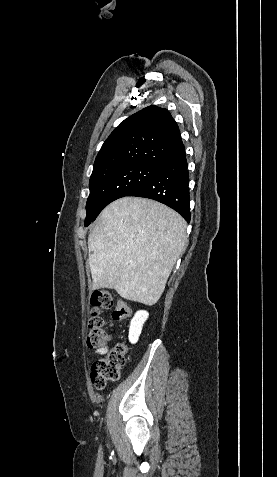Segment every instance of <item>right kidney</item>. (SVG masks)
<instances>
[{"label": "right kidney", "instance_id": "right-kidney-1", "mask_svg": "<svg viewBox=\"0 0 277 477\" xmlns=\"http://www.w3.org/2000/svg\"><path fill=\"white\" fill-rule=\"evenodd\" d=\"M149 313L144 310L137 311L130 323L129 341L135 344L142 331L143 324L148 319Z\"/></svg>", "mask_w": 277, "mask_h": 477}]
</instances>
